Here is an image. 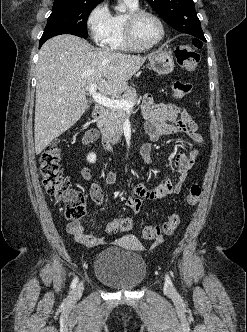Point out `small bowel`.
Wrapping results in <instances>:
<instances>
[{"label": "small bowel", "mask_w": 247, "mask_h": 332, "mask_svg": "<svg viewBox=\"0 0 247 332\" xmlns=\"http://www.w3.org/2000/svg\"><path fill=\"white\" fill-rule=\"evenodd\" d=\"M142 112L146 119L145 130L151 142H156L164 136L178 134L188 136L195 143L203 141L202 135L198 132L197 123L180 106L168 102L155 103L153 95L147 94L142 101ZM97 137V132L90 130L84 136L83 142L85 144L92 143ZM140 155L147 164L152 163L150 143L141 146ZM197 155V150H192L189 154L179 151L175 157V168L178 175L175 182L166 180L153 187L139 183L133 188L131 194L124 199L123 204L134 213H138L144 199L159 200L170 195L179 194ZM81 174L84 179L90 180L91 175L88 168H82ZM106 182L110 186L116 184L117 177L113 171L108 170L106 172ZM90 196L95 204L101 205L103 203V192L98 184L93 183L91 185ZM67 231L77 242L87 247H96L104 243L103 238L85 233L79 221L70 222Z\"/></svg>", "instance_id": "obj_1"}]
</instances>
